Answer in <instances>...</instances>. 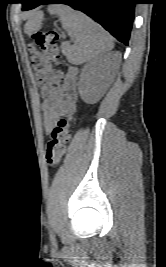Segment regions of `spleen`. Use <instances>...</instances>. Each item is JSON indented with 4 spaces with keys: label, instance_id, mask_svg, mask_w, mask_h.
Instances as JSON below:
<instances>
[{
    "label": "spleen",
    "instance_id": "1",
    "mask_svg": "<svg viewBox=\"0 0 166 267\" xmlns=\"http://www.w3.org/2000/svg\"><path fill=\"white\" fill-rule=\"evenodd\" d=\"M50 14L60 18L62 27L75 40L66 56L72 64H82L110 51L114 44L110 35L87 15L66 5H51ZM42 15L36 14L29 22L32 30L39 28Z\"/></svg>",
    "mask_w": 166,
    "mask_h": 267
}]
</instances>
